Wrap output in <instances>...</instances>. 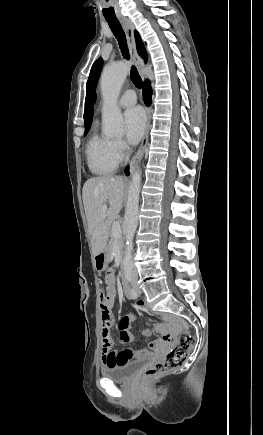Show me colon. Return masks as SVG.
Here are the masks:
<instances>
[{
  "mask_svg": "<svg viewBox=\"0 0 263 435\" xmlns=\"http://www.w3.org/2000/svg\"><path fill=\"white\" fill-rule=\"evenodd\" d=\"M104 297V293L101 292V302L103 301ZM188 333V330H183L179 345L168 351L163 360L155 363L143 373L142 380L144 382H151L170 370L181 366L185 362L187 353L193 346V337ZM102 339L103 341L100 343V348L102 350H113L115 348L114 335L112 334V330L110 328H105L103 330Z\"/></svg>",
  "mask_w": 263,
  "mask_h": 435,
  "instance_id": "1",
  "label": "colon"
}]
</instances>
